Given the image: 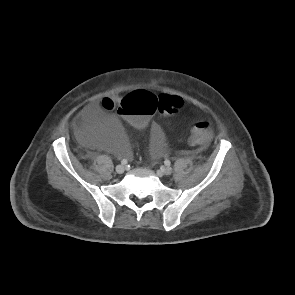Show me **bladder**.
Returning a JSON list of instances; mask_svg holds the SVG:
<instances>
[{
	"instance_id": "1",
	"label": "bladder",
	"mask_w": 295,
	"mask_h": 295,
	"mask_svg": "<svg viewBox=\"0 0 295 295\" xmlns=\"http://www.w3.org/2000/svg\"><path fill=\"white\" fill-rule=\"evenodd\" d=\"M114 138V134L113 133H105L101 136V139L103 142H108V141H112Z\"/></svg>"
}]
</instances>
